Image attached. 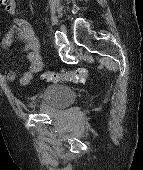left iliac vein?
I'll return each mask as SVG.
<instances>
[{
	"mask_svg": "<svg viewBox=\"0 0 143 170\" xmlns=\"http://www.w3.org/2000/svg\"><path fill=\"white\" fill-rule=\"evenodd\" d=\"M60 29H61V31H62L63 33H66V32H67L66 27H65L64 25H61V26H60Z\"/></svg>",
	"mask_w": 143,
	"mask_h": 170,
	"instance_id": "1",
	"label": "left iliac vein"
}]
</instances>
